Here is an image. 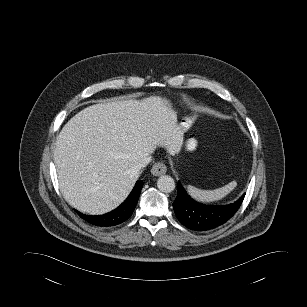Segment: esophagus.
Wrapping results in <instances>:
<instances>
[{
  "instance_id": "obj_1",
  "label": "esophagus",
  "mask_w": 307,
  "mask_h": 307,
  "mask_svg": "<svg viewBox=\"0 0 307 307\" xmlns=\"http://www.w3.org/2000/svg\"><path fill=\"white\" fill-rule=\"evenodd\" d=\"M167 171V167L164 163L162 162H156L152 168H151V173L154 176H160L162 174H165Z\"/></svg>"
}]
</instances>
